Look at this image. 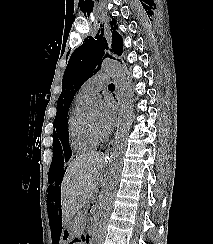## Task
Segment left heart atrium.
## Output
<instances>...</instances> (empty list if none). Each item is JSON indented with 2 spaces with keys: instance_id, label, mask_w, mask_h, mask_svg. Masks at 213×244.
Returning a JSON list of instances; mask_svg holds the SVG:
<instances>
[{
  "instance_id": "obj_1",
  "label": "left heart atrium",
  "mask_w": 213,
  "mask_h": 244,
  "mask_svg": "<svg viewBox=\"0 0 213 244\" xmlns=\"http://www.w3.org/2000/svg\"><path fill=\"white\" fill-rule=\"evenodd\" d=\"M116 105L111 99H106L104 103V113L101 119V127L104 132H109L115 123Z\"/></svg>"
}]
</instances>
